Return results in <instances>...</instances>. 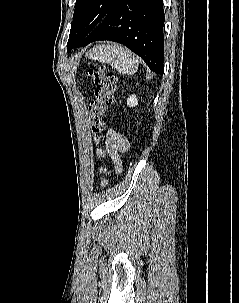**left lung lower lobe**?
Here are the masks:
<instances>
[{
	"mask_svg": "<svg viewBox=\"0 0 239 303\" xmlns=\"http://www.w3.org/2000/svg\"><path fill=\"white\" fill-rule=\"evenodd\" d=\"M163 0H117L113 8L81 42L121 43L139 55L155 73L164 72Z\"/></svg>",
	"mask_w": 239,
	"mask_h": 303,
	"instance_id": "left-lung-lower-lobe-1",
	"label": "left lung lower lobe"
}]
</instances>
